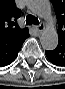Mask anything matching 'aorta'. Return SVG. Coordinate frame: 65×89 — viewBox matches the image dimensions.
<instances>
[{
  "instance_id": "762f6f07",
  "label": "aorta",
  "mask_w": 65,
  "mask_h": 89,
  "mask_svg": "<svg viewBox=\"0 0 65 89\" xmlns=\"http://www.w3.org/2000/svg\"><path fill=\"white\" fill-rule=\"evenodd\" d=\"M30 10L44 19L47 26L40 36L41 46L45 50L52 51L58 45V34L56 28L52 25L54 16L50 3L47 0H34L29 5Z\"/></svg>"
}]
</instances>
